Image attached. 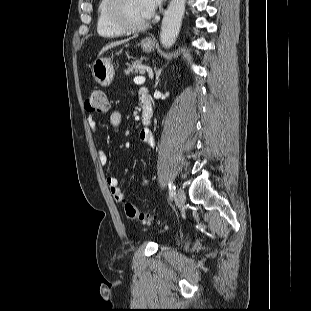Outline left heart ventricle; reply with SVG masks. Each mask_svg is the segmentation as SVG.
Returning a JSON list of instances; mask_svg holds the SVG:
<instances>
[{
    "label": "left heart ventricle",
    "instance_id": "obj_1",
    "mask_svg": "<svg viewBox=\"0 0 311 311\" xmlns=\"http://www.w3.org/2000/svg\"><path fill=\"white\" fill-rule=\"evenodd\" d=\"M124 19L132 25H139L148 20L142 8L141 0H124L122 5Z\"/></svg>",
    "mask_w": 311,
    "mask_h": 311
}]
</instances>
